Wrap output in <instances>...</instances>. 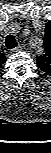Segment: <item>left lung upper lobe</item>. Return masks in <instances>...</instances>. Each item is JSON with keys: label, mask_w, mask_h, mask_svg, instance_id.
Instances as JSON below:
<instances>
[{"label": "left lung upper lobe", "mask_w": 51, "mask_h": 153, "mask_svg": "<svg viewBox=\"0 0 51 153\" xmlns=\"http://www.w3.org/2000/svg\"><path fill=\"white\" fill-rule=\"evenodd\" d=\"M43 45L44 54L37 56L36 63L45 74L51 76V21L46 23Z\"/></svg>", "instance_id": "left-lung-upper-lobe-1"}]
</instances>
